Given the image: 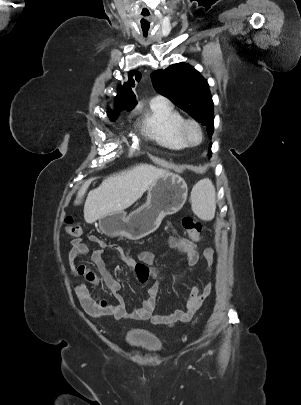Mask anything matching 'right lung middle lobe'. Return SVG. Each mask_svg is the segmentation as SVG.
I'll use <instances>...</instances> for the list:
<instances>
[{"mask_svg":"<svg viewBox=\"0 0 301 405\" xmlns=\"http://www.w3.org/2000/svg\"><path fill=\"white\" fill-rule=\"evenodd\" d=\"M119 111H122V110H119ZM119 111L110 113L109 114L110 119L114 121L117 118ZM128 111H130V110H128Z\"/></svg>","mask_w":301,"mask_h":405,"instance_id":"right-lung-middle-lobe-1","label":"right lung middle lobe"}]
</instances>
